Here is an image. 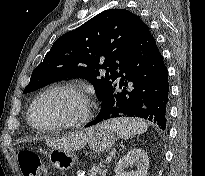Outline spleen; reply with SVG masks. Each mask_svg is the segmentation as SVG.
Here are the masks:
<instances>
[{
	"label": "spleen",
	"mask_w": 205,
	"mask_h": 176,
	"mask_svg": "<svg viewBox=\"0 0 205 176\" xmlns=\"http://www.w3.org/2000/svg\"><path fill=\"white\" fill-rule=\"evenodd\" d=\"M115 132L120 138L128 139L135 135L142 134L147 131L145 121L136 118H117L105 121L101 124Z\"/></svg>",
	"instance_id": "spleen-1"
}]
</instances>
